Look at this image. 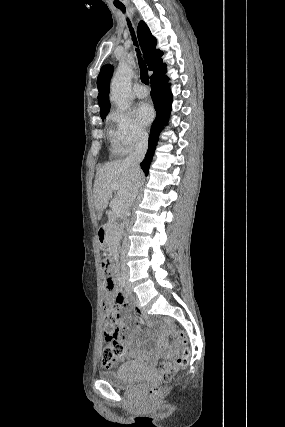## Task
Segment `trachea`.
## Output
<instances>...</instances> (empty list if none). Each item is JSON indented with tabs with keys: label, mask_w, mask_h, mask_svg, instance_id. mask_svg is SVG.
<instances>
[{
	"label": "trachea",
	"mask_w": 285,
	"mask_h": 427,
	"mask_svg": "<svg viewBox=\"0 0 285 427\" xmlns=\"http://www.w3.org/2000/svg\"><path fill=\"white\" fill-rule=\"evenodd\" d=\"M123 13H125V7H118ZM128 22V27L130 29L131 35H132V40L134 41V45L137 46V41H136V36H135V32L131 26V22L127 19ZM137 51V56H138V61H139V67H140V78L141 81L148 85L149 84V76H148V70H147V66L146 64L143 62V60L140 57V51L139 49H136Z\"/></svg>",
	"instance_id": "3493384b"
}]
</instances>
